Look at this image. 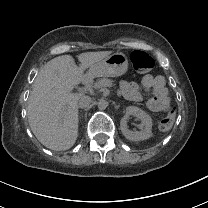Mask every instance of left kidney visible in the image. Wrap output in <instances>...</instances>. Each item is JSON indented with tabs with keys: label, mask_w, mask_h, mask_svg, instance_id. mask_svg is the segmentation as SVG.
I'll return each mask as SVG.
<instances>
[{
	"label": "left kidney",
	"mask_w": 208,
	"mask_h": 208,
	"mask_svg": "<svg viewBox=\"0 0 208 208\" xmlns=\"http://www.w3.org/2000/svg\"><path fill=\"white\" fill-rule=\"evenodd\" d=\"M129 116L138 117L142 121L138 131L128 129L127 121ZM151 127V118L142 109L134 106L126 107L125 115L120 122V129L128 140L136 142L149 139L152 135Z\"/></svg>",
	"instance_id": "1"
}]
</instances>
